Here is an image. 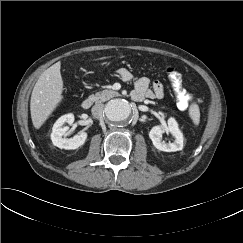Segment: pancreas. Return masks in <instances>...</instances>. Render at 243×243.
Wrapping results in <instances>:
<instances>
[{"mask_svg":"<svg viewBox=\"0 0 243 243\" xmlns=\"http://www.w3.org/2000/svg\"><path fill=\"white\" fill-rule=\"evenodd\" d=\"M120 94L116 91H113L111 89H105L101 92H97L95 94H92L89 96V99L92 100L95 103H101L110 100L111 98L117 97Z\"/></svg>","mask_w":243,"mask_h":243,"instance_id":"cf45deb5","label":"pancreas"}]
</instances>
